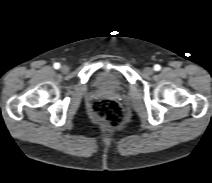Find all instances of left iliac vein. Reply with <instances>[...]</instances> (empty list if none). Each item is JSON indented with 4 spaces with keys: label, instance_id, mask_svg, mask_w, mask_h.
I'll return each instance as SVG.
<instances>
[{
    "label": "left iliac vein",
    "instance_id": "left-iliac-vein-1",
    "mask_svg": "<svg viewBox=\"0 0 212 183\" xmlns=\"http://www.w3.org/2000/svg\"><path fill=\"white\" fill-rule=\"evenodd\" d=\"M153 72H154V70H153V68H151V67H146V68L144 69V73H145L146 75H152Z\"/></svg>",
    "mask_w": 212,
    "mask_h": 183
}]
</instances>
